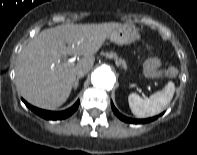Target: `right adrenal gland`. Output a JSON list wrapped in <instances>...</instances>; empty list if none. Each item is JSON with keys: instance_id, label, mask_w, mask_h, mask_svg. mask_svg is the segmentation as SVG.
<instances>
[{"instance_id": "right-adrenal-gland-1", "label": "right adrenal gland", "mask_w": 197, "mask_h": 155, "mask_svg": "<svg viewBox=\"0 0 197 155\" xmlns=\"http://www.w3.org/2000/svg\"><path fill=\"white\" fill-rule=\"evenodd\" d=\"M80 78H82V77L79 76V77L76 78L75 83H74V85H73V89H74V90L77 89V87H78V85H79V80H80Z\"/></svg>"}]
</instances>
